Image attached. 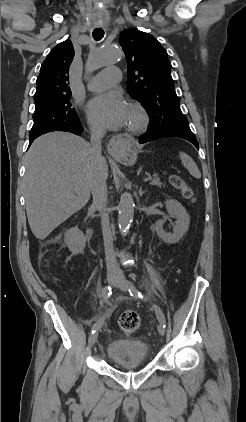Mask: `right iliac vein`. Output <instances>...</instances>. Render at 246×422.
<instances>
[{
    "label": "right iliac vein",
    "mask_w": 246,
    "mask_h": 422,
    "mask_svg": "<svg viewBox=\"0 0 246 422\" xmlns=\"http://www.w3.org/2000/svg\"><path fill=\"white\" fill-rule=\"evenodd\" d=\"M117 274L116 273H113V272H109L108 274H107V281H108V283L109 284H114L115 282H116V280H117ZM97 337H98V333H97V330L90 336V338H89V344H90V346H93L95 343H96V341H97Z\"/></svg>",
    "instance_id": "1"
}]
</instances>
